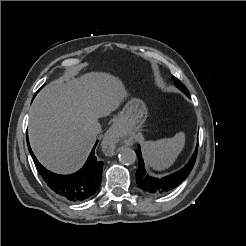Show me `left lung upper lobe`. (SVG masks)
<instances>
[{
	"mask_svg": "<svg viewBox=\"0 0 246 246\" xmlns=\"http://www.w3.org/2000/svg\"><path fill=\"white\" fill-rule=\"evenodd\" d=\"M174 83L175 85L181 90L183 91L187 96H189V93L187 91V89L185 88V86L175 77H173Z\"/></svg>",
	"mask_w": 246,
	"mask_h": 246,
	"instance_id": "obj_1",
	"label": "left lung upper lobe"
}]
</instances>
